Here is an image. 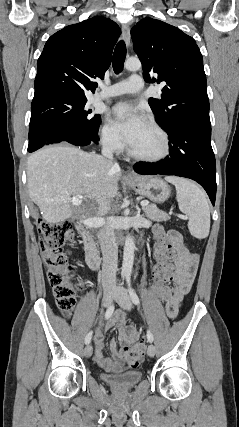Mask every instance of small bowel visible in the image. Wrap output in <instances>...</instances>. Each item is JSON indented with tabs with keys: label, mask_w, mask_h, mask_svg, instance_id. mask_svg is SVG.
<instances>
[{
	"label": "small bowel",
	"mask_w": 239,
	"mask_h": 427,
	"mask_svg": "<svg viewBox=\"0 0 239 427\" xmlns=\"http://www.w3.org/2000/svg\"><path fill=\"white\" fill-rule=\"evenodd\" d=\"M170 236L169 252L174 261L172 266L171 282H168L169 298H160L166 303V312L169 318L177 316L180 305L189 292L199 265V255L192 253L186 247L182 235L176 230L167 231ZM153 291V290H152ZM154 292V291H153ZM125 313L123 310H116L107 325V328H115L119 332V340L123 347L134 344L138 339V332L133 325H126L124 322ZM96 345L94 359L104 370L109 372H120L123 369V356L118 349L115 340L111 341V356H105L104 334L98 329L94 336Z\"/></svg>",
	"instance_id": "small-bowel-1"
}]
</instances>
